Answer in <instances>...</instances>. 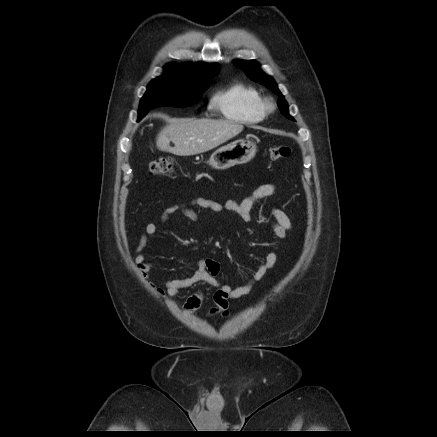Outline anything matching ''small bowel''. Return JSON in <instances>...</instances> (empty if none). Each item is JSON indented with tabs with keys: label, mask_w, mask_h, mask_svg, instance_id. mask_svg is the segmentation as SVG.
I'll use <instances>...</instances> for the list:
<instances>
[{
	"label": "small bowel",
	"mask_w": 437,
	"mask_h": 437,
	"mask_svg": "<svg viewBox=\"0 0 437 437\" xmlns=\"http://www.w3.org/2000/svg\"><path fill=\"white\" fill-rule=\"evenodd\" d=\"M276 185L268 183L256 188L249 196L242 201L228 200L224 204L216 201L197 197L188 203H177L166 207L161 214V221L166 222L169 217L175 213H182L188 219L195 221L198 218L197 213L192 209L197 206L204 209H209L214 212L229 210L237 213L245 222L252 221V208L254 204L264 198L274 195ZM274 222L271 225L274 235L280 239L286 237L287 232L291 229L292 224L288 215L281 209L274 208L271 212ZM158 231V226L154 222H149L140 237L136 248L135 262L140 270L146 276L150 271L151 264L146 262L144 249L148 239L153 238ZM278 255L274 251H270L259 264L257 270L252 274L250 279L242 286L232 288L227 284H222L218 280L220 265L212 259H201L198 263V268L190 277L181 279H172L164 282V289H157L160 294H166L169 298H174L181 290L190 288L198 282H205L216 288L213 294L214 306L210 309V315L228 313L229 301L248 294L254 284L260 281L266 273L276 264ZM204 295L201 291H196L189 295L184 303V309L193 313L196 312L202 305Z\"/></svg>",
	"instance_id": "obj_1"
}]
</instances>
